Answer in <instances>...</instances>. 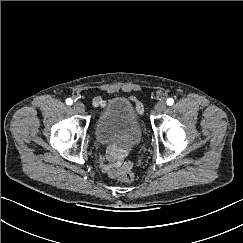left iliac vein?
Listing matches in <instances>:
<instances>
[{
    "instance_id": "4c4485c4",
    "label": "left iliac vein",
    "mask_w": 243,
    "mask_h": 243,
    "mask_svg": "<svg viewBox=\"0 0 243 243\" xmlns=\"http://www.w3.org/2000/svg\"><path fill=\"white\" fill-rule=\"evenodd\" d=\"M166 109V103L164 101H160L155 105V111L160 113Z\"/></svg>"
}]
</instances>
